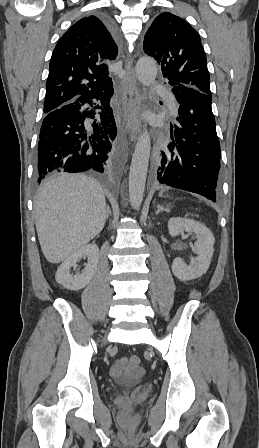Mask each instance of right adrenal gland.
I'll return each mask as SVG.
<instances>
[{"label": "right adrenal gland", "instance_id": "1", "mask_svg": "<svg viewBox=\"0 0 259 448\" xmlns=\"http://www.w3.org/2000/svg\"><path fill=\"white\" fill-rule=\"evenodd\" d=\"M109 214H110V212H108V214H107V218H109Z\"/></svg>", "mask_w": 259, "mask_h": 448}]
</instances>
